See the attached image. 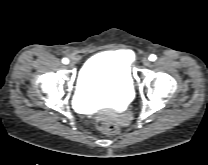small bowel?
I'll return each instance as SVG.
<instances>
[{"mask_svg":"<svg viewBox=\"0 0 208 165\" xmlns=\"http://www.w3.org/2000/svg\"><path fill=\"white\" fill-rule=\"evenodd\" d=\"M121 53H122V58H123L126 62H129L127 53H126L125 51H121Z\"/></svg>","mask_w":208,"mask_h":165,"instance_id":"1","label":"small bowel"}]
</instances>
